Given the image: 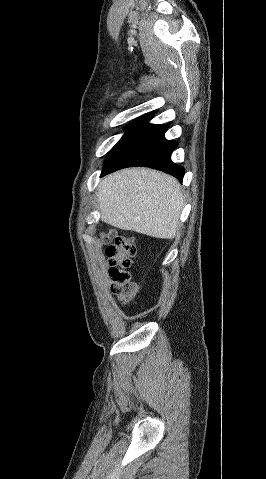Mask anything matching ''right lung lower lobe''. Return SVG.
Returning a JSON list of instances; mask_svg holds the SVG:
<instances>
[{
    "label": "right lung lower lobe",
    "instance_id": "98d812e1",
    "mask_svg": "<svg viewBox=\"0 0 266 479\" xmlns=\"http://www.w3.org/2000/svg\"><path fill=\"white\" fill-rule=\"evenodd\" d=\"M152 117L153 114L144 115L126 127L127 132L105 159L101 176L126 167L144 166L161 170L182 182L184 167L171 161V153L178 143L165 139L169 125L149 124Z\"/></svg>",
    "mask_w": 266,
    "mask_h": 479
}]
</instances>
